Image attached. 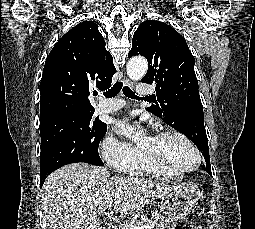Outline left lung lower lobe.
I'll list each match as a JSON object with an SVG mask.
<instances>
[{
    "mask_svg": "<svg viewBox=\"0 0 255 229\" xmlns=\"http://www.w3.org/2000/svg\"><path fill=\"white\" fill-rule=\"evenodd\" d=\"M192 116L195 119V125H196L197 129H199L201 131H205L204 117H203V108L202 109L194 110V112L192 113ZM205 161H206V165H207L205 170L210 175H212V173H211V165H210V157H205Z\"/></svg>",
    "mask_w": 255,
    "mask_h": 229,
    "instance_id": "left-lung-lower-lobe-1",
    "label": "left lung lower lobe"
}]
</instances>
